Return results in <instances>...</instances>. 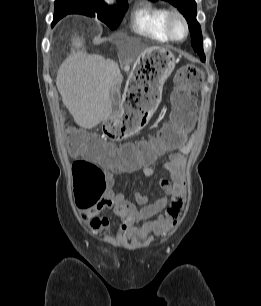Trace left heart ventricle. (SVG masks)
<instances>
[{"label": "left heart ventricle", "instance_id": "left-heart-ventricle-1", "mask_svg": "<svg viewBox=\"0 0 261 306\" xmlns=\"http://www.w3.org/2000/svg\"><path fill=\"white\" fill-rule=\"evenodd\" d=\"M174 34L178 37L181 38L184 35V30L183 27L180 23L176 22L174 24Z\"/></svg>", "mask_w": 261, "mask_h": 306}]
</instances>
